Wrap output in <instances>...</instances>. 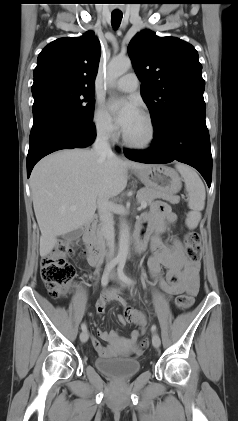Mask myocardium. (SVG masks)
I'll return each instance as SVG.
<instances>
[{
	"mask_svg": "<svg viewBox=\"0 0 238 421\" xmlns=\"http://www.w3.org/2000/svg\"><path fill=\"white\" fill-rule=\"evenodd\" d=\"M141 116L144 118V120L147 123L148 126V136L144 141L141 142H135L130 140L124 130L122 131V140L124 142V144L132 149H136V150H146L149 149L153 146L155 139H156V127H155V123L151 117V115L145 111L140 112Z\"/></svg>",
	"mask_w": 238,
	"mask_h": 421,
	"instance_id": "myocardium-1",
	"label": "myocardium"
}]
</instances>
